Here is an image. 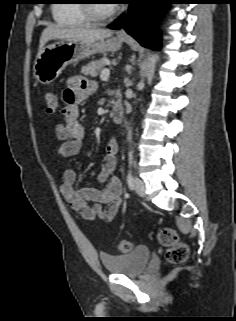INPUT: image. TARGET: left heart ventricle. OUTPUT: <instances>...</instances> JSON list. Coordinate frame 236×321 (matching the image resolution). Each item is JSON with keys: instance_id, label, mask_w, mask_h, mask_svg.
<instances>
[{"instance_id": "1", "label": "left heart ventricle", "mask_w": 236, "mask_h": 321, "mask_svg": "<svg viewBox=\"0 0 236 321\" xmlns=\"http://www.w3.org/2000/svg\"><path fill=\"white\" fill-rule=\"evenodd\" d=\"M112 7L113 5L107 3L106 0H97L94 4L95 11L99 16L106 15Z\"/></svg>"}]
</instances>
